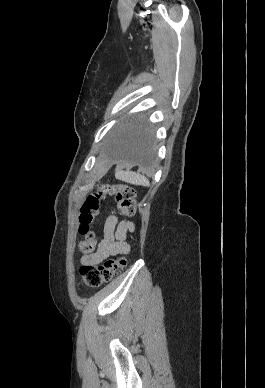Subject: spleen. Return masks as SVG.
<instances>
[{"instance_id": "obj_1", "label": "spleen", "mask_w": 265, "mask_h": 388, "mask_svg": "<svg viewBox=\"0 0 265 388\" xmlns=\"http://www.w3.org/2000/svg\"><path fill=\"white\" fill-rule=\"evenodd\" d=\"M116 176H118L120 180H123V182H128V184H135V186H150L145 176L134 174V172H119Z\"/></svg>"}]
</instances>
